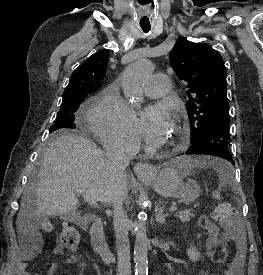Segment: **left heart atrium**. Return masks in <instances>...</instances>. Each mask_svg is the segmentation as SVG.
Returning <instances> with one entry per match:
<instances>
[{
  "label": "left heart atrium",
  "instance_id": "1",
  "mask_svg": "<svg viewBox=\"0 0 263 275\" xmlns=\"http://www.w3.org/2000/svg\"><path fill=\"white\" fill-rule=\"evenodd\" d=\"M171 125V113L168 108L164 105H155L141 113L139 130L145 141L154 145L162 142Z\"/></svg>",
  "mask_w": 263,
  "mask_h": 275
}]
</instances>
